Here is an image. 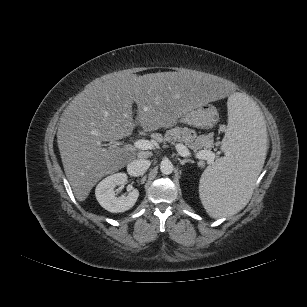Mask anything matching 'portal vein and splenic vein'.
I'll return each mask as SVG.
<instances>
[{"label": "portal vein and splenic vein", "instance_id": "18ae733b", "mask_svg": "<svg viewBox=\"0 0 307 307\" xmlns=\"http://www.w3.org/2000/svg\"><path fill=\"white\" fill-rule=\"evenodd\" d=\"M154 146L155 142L150 140L140 139L134 142V147L139 150H151L154 148ZM175 148L182 157L190 156L191 154L188 148L181 143L176 144ZM195 157L197 159L207 160L209 164H212L216 158V155L210 150H201L196 153Z\"/></svg>", "mask_w": 307, "mask_h": 307}]
</instances>
